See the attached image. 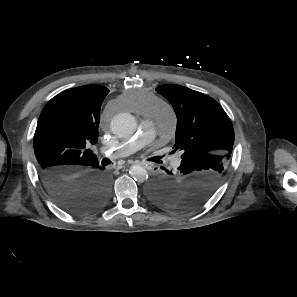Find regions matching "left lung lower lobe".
<instances>
[{"mask_svg": "<svg viewBox=\"0 0 297 297\" xmlns=\"http://www.w3.org/2000/svg\"><path fill=\"white\" fill-rule=\"evenodd\" d=\"M162 169L165 170L170 175H168V176L165 175L163 177H159L156 180H154L149 187V192L171 188V174H173V172L168 171L167 169H165L163 167H162ZM180 170H182L181 167L179 168V172H180Z\"/></svg>", "mask_w": 297, "mask_h": 297, "instance_id": "0a47b994", "label": "left lung lower lobe"}]
</instances>
